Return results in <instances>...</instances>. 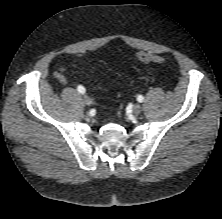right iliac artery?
Listing matches in <instances>:
<instances>
[{
  "instance_id": "82829eb1",
  "label": "right iliac artery",
  "mask_w": 222,
  "mask_h": 219,
  "mask_svg": "<svg viewBox=\"0 0 222 219\" xmlns=\"http://www.w3.org/2000/svg\"><path fill=\"white\" fill-rule=\"evenodd\" d=\"M77 91L79 92V93H81V94H84L85 93V88L82 86V85H79L78 87H77Z\"/></svg>"
}]
</instances>
